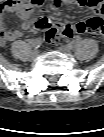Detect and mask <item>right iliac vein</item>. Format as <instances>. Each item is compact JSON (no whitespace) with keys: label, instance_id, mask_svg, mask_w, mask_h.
Returning <instances> with one entry per match:
<instances>
[{"label":"right iliac vein","instance_id":"right-iliac-vein-1","mask_svg":"<svg viewBox=\"0 0 104 137\" xmlns=\"http://www.w3.org/2000/svg\"><path fill=\"white\" fill-rule=\"evenodd\" d=\"M38 55H39V50H34L32 53H31V58L32 59H35V58H37L38 57Z\"/></svg>","mask_w":104,"mask_h":137}]
</instances>
